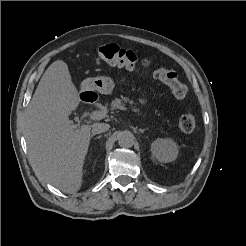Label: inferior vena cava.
<instances>
[{
    "label": "inferior vena cava",
    "mask_w": 246,
    "mask_h": 246,
    "mask_svg": "<svg viewBox=\"0 0 246 246\" xmlns=\"http://www.w3.org/2000/svg\"><path fill=\"white\" fill-rule=\"evenodd\" d=\"M110 126L107 123H96L92 126V134H100L109 130Z\"/></svg>",
    "instance_id": "obj_1"
}]
</instances>
